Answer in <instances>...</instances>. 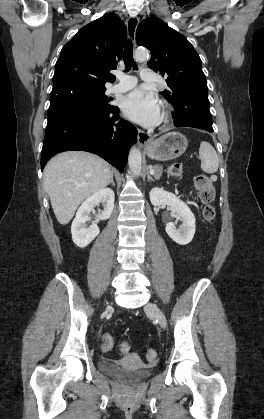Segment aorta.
<instances>
[{"label": "aorta", "instance_id": "1", "mask_svg": "<svg viewBox=\"0 0 264 419\" xmlns=\"http://www.w3.org/2000/svg\"><path fill=\"white\" fill-rule=\"evenodd\" d=\"M149 58L148 51L138 49L135 52V59L137 61H145ZM129 168L134 176H139L142 168L141 152L136 147L131 148L128 156Z\"/></svg>", "mask_w": 264, "mask_h": 419}]
</instances>
